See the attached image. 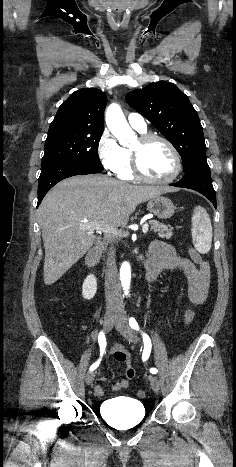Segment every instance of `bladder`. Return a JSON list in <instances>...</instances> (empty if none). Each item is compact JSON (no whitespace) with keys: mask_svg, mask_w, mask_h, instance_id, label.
Listing matches in <instances>:
<instances>
[{"mask_svg":"<svg viewBox=\"0 0 236 467\" xmlns=\"http://www.w3.org/2000/svg\"><path fill=\"white\" fill-rule=\"evenodd\" d=\"M99 411L104 420L119 429L133 427L145 418V409L142 402L129 397L105 400Z\"/></svg>","mask_w":236,"mask_h":467,"instance_id":"obj_1","label":"bladder"}]
</instances>
